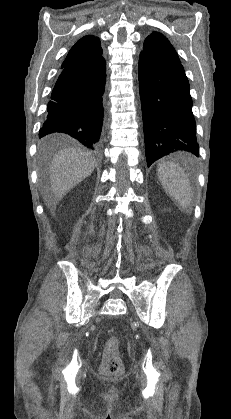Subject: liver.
I'll use <instances>...</instances> for the list:
<instances>
[{
	"label": "liver",
	"mask_w": 231,
	"mask_h": 419,
	"mask_svg": "<svg viewBox=\"0 0 231 419\" xmlns=\"http://www.w3.org/2000/svg\"><path fill=\"white\" fill-rule=\"evenodd\" d=\"M91 153L78 148H67L56 154L50 167V184L54 200H60L69 190L88 177L94 170Z\"/></svg>",
	"instance_id": "obj_1"
}]
</instances>
